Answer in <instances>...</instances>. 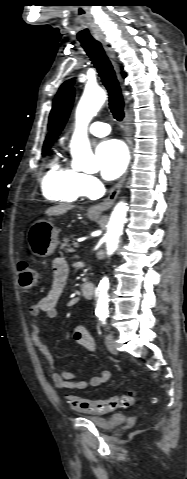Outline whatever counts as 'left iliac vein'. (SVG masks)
Masks as SVG:
<instances>
[{
	"label": "left iliac vein",
	"instance_id": "4c4485c4",
	"mask_svg": "<svg viewBox=\"0 0 187 479\" xmlns=\"http://www.w3.org/2000/svg\"><path fill=\"white\" fill-rule=\"evenodd\" d=\"M105 343L108 348V350L112 354H117V348H116V342L111 334H108L105 338Z\"/></svg>",
	"mask_w": 187,
	"mask_h": 479
}]
</instances>
